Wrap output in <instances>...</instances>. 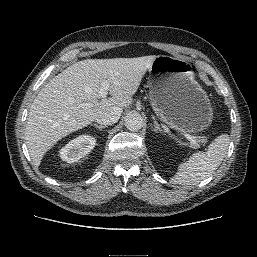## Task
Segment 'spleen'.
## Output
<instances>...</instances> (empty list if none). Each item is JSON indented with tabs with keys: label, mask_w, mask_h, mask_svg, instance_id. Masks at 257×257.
<instances>
[{
	"label": "spleen",
	"mask_w": 257,
	"mask_h": 257,
	"mask_svg": "<svg viewBox=\"0 0 257 257\" xmlns=\"http://www.w3.org/2000/svg\"><path fill=\"white\" fill-rule=\"evenodd\" d=\"M228 134H222L208 146L206 152H197L189 160L178 166V171L170 180L173 184L191 185L210 176L222 163L229 146Z\"/></svg>",
	"instance_id": "spleen-1"
}]
</instances>
